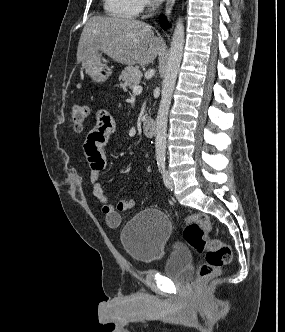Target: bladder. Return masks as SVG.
<instances>
[{
	"instance_id": "bladder-1",
	"label": "bladder",
	"mask_w": 285,
	"mask_h": 332,
	"mask_svg": "<svg viewBox=\"0 0 285 332\" xmlns=\"http://www.w3.org/2000/svg\"><path fill=\"white\" fill-rule=\"evenodd\" d=\"M172 233V224L158 209L138 212L124 226L120 234L125 251L140 262L159 259ZM192 254L182 244H175L165 261V274L172 279L185 280L191 271Z\"/></svg>"
}]
</instances>
